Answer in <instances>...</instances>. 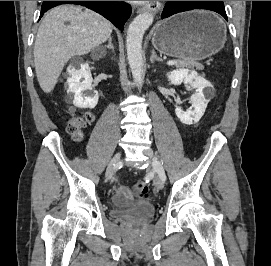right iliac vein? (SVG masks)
<instances>
[{"instance_id":"1","label":"right iliac vein","mask_w":271,"mask_h":266,"mask_svg":"<svg viewBox=\"0 0 271 266\" xmlns=\"http://www.w3.org/2000/svg\"><path fill=\"white\" fill-rule=\"evenodd\" d=\"M121 155V153H118L111 159L106 171V178L108 180L112 178L114 171L117 169L121 159Z\"/></svg>"}]
</instances>
